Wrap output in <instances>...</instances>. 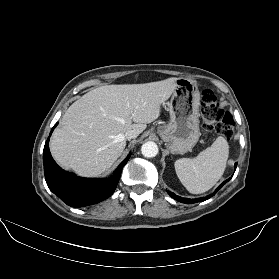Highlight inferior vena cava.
I'll return each instance as SVG.
<instances>
[{
  "label": "inferior vena cava",
  "mask_w": 279,
  "mask_h": 279,
  "mask_svg": "<svg viewBox=\"0 0 279 279\" xmlns=\"http://www.w3.org/2000/svg\"><path fill=\"white\" fill-rule=\"evenodd\" d=\"M138 136V133L135 132L134 130H129L126 132L125 134V138L128 139V140H131L133 138H136Z\"/></svg>",
  "instance_id": "602c4592"
}]
</instances>
